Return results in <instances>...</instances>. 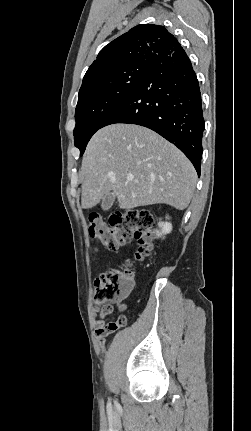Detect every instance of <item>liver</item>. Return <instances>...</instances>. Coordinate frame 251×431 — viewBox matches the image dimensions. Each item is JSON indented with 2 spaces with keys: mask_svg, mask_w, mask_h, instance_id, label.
<instances>
[{
  "mask_svg": "<svg viewBox=\"0 0 251 431\" xmlns=\"http://www.w3.org/2000/svg\"><path fill=\"white\" fill-rule=\"evenodd\" d=\"M80 175L84 209L112 194L120 209L164 203L183 210L197 182L192 163L179 149L148 128L124 123L94 134ZM128 176L134 179L129 181Z\"/></svg>",
  "mask_w": 251,
  "mask_h": 431,
  "instance_id": "1",
  "label": "liver"
}]
</instances>
